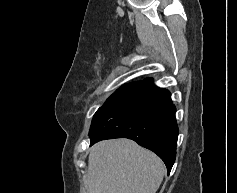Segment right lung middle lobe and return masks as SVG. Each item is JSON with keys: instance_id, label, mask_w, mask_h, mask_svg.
<instances>
[{"instance_id": "1", "label": "right lung middle lobe", "mask_w": 237, "mask_h": 193, "mask_svg": "<svg viewBox=\"0 0 237 193\" xmlns=\"http://www.w3.org/2000/svg\"><path fill=\"white\" fill-rule=\"evenodd\" d=\"M140 85L141 81L121 86L114 94L110 96V98L107 99L104 105L97 110L96 114L120 103Z\"/></svg>"}]
</instances>
